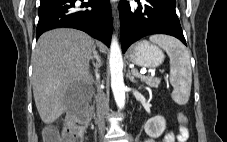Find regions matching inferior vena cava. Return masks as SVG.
I'll use <instances>...</instances> for the list:
<instances>
[{"label":"inferior vena cava","instance_id":"1","mask_svg":"<svg viewBox=\"0 0 227 142\" xmlns=\"http://www.w3.org/2000/svg\"><path fill=\"white\" fill-rule=\"evenodd\" d=\"M96 107H97V125L100 134L102 135L105 129L104 115L107 113L109 102L104 92L101 89L97 90L95 96Z\"/></svg>","mask_w":227,"mask_h":142}]
</instances>
